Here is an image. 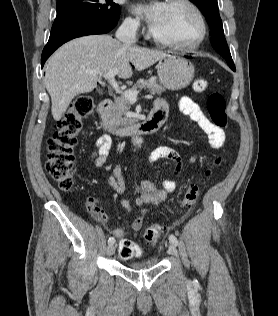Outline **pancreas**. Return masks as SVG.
I'll list each match as a JSON object with an SVG mask.
<instances>
[{
	"instance_id": "cf45deb5",
	"label": "pancreas",
	"mask_w": 278,
	"mask_h": 316,
	"mask_svg": "<svg viewBox=\"0 0 278 316\" xmlns=\"http://www.w3.org/2000/svg\"><path fill=\"white\" fill-rule=\"evenodd\" d=\"M147 88L148 91L154 95H161L165 88L158 84L157 79L152 77L150 79H139L130 90L136 91L137 89ZM130 109L129 100L123 95L115 98V103L112 110L108 113V122L114 129L126 126L133 120L126 117L128 110Z\"/></svg>"
}]
</instances>
